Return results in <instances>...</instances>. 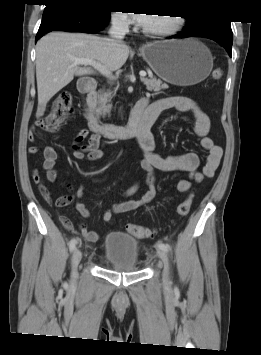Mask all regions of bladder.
Wrapping results in <instances>:
<instances>
[{
    "instance_id": "bladder-1",
    "label": "bladder",
    "mask_w": 261,
    "mask_h": 355,
    "mask_svg": "<svg viewBox=\"0 0 261 355\" xmlns=\"http://www.w3.org/2000/svg\"><path fill=\"white\" fill-rule=\"evenodd\" d=\"M105 259L115 269L138 270V242L123 233H109L105 240Z\"/></svg>"
}]
</instances>
